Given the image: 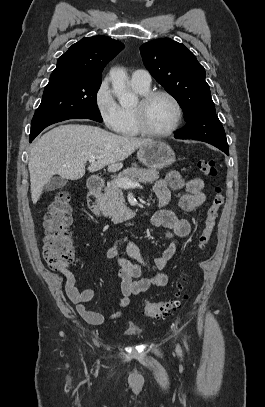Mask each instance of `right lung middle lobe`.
Here are the masks:
<instances>
[{
	"label": "right lung middle lobe",
	"instance_id": "1",
	"mask_svg": "<svg viewBox=\"0 0 265 407\" xmlns=\"http://www.w3.org/2000/svg\"><path fill=\"white\" fill-rule=\"evenodd\" d=\"M100 85L101 80L66 74L51 76L32 119L30 137L37 136L53 123L67 119L87 118L102 122L96 101Z\"/></svg>",
	"mask_w": 265,
	"mask_h": 407
}]
</instances>
